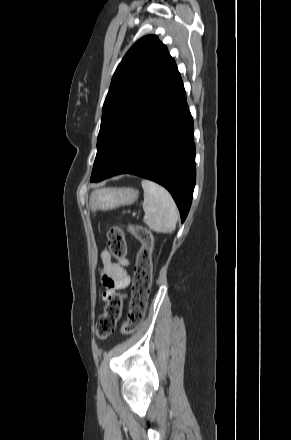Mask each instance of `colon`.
Listing matches in <instances>:
<instances>
[{"label":"colon","instance_id":"obj_1","mask_svg":"<svg viewBox=\"0 0 291 440\" xmlns=\"http://www.w3.org/2000/svg\"><path fill=\"white\" fill-rule=\"evenodd\" d=\"M133 236L141 242L134 268V286L131 306L127 321L122 326V332H134L141 324L147 306V300L152 286V254L154 242L151 234L140 227H131ZM108 245L111 254L116 259H123L127 254L126 240L120 225H113L107 233ZM112 286V283H108ZM121 300L118 295L109 296L103 313L98 317L95 325L96 335L104 339L114 330L116 321L121 314Z\"/></svg>","mask_w":291,"mask_h":440}]
</instances>
